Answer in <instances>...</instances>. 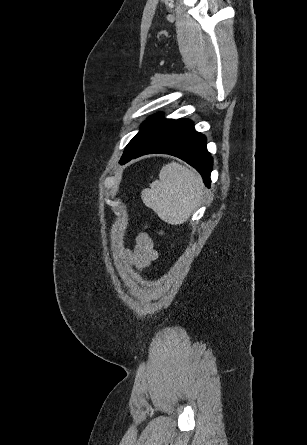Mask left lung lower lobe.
<instances>
[{
  "label": "left lung lower lobe",
  "instance_id": "0a47b994",
  "mask_svg": "<svg viewBox=\"0 0 307 445\" xmlns=\"http://www.w3.org/2000/svg\"><path fill=\"white\" fill-rule=\"evenodd\" d=\"M151 153H163L181 158L196 168L202 175L205 185L210 187L213 160L206 149L205 136L194 130L193 122L189 119L173 121L146 140L125 163Z\"/></svg>",
  "mask_w": 307,
  "mask_h": 445
}]
</instances>
